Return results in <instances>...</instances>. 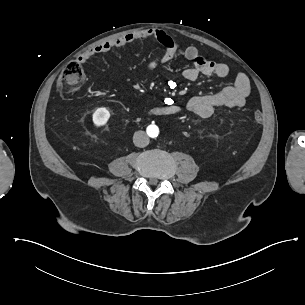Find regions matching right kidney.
Here are the masks:
<instances>
[{"mask_svg":"<svg viewBox=\"0 0 305 305\" xmlns=\"http://www.w3.org/2000/svg\"><path fill=\"white\" fill-rule=\"evenodd\" d=\"M110 117L106 108H98L93 114V122L97 126L105 125Z\"/></svg>","mask_w":305,"mask_h":305,"instance_id":"obj_1","label":"right kidney"}]
</instances>
